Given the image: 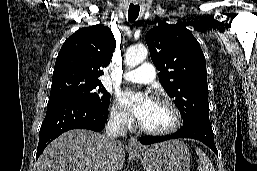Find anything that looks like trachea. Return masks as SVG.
<instances>
[{"label": "trachea", "mask_w": 257, "mask_h": 171, "mask_svg": "<svg viewBox=\"0 0 257 171\" xmlns=\"http://www.w3.org/2000/svg\"><path fill=\"white\" fill-rule=\"evenodd\" d=\"M140 7L139 5L130 4L129 10H128V20L130 23L135 22L139 15Z\"/></svg>", "instance_id": "obj_1"}]
</instances>
